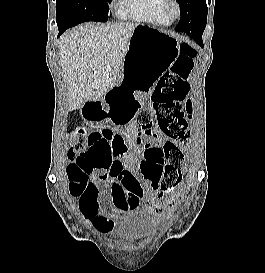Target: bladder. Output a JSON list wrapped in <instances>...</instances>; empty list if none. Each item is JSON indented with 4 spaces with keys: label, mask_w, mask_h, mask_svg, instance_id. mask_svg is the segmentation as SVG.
Returning <instances> with one entry per match:
<instances>
[{
    "label": "bladder",
    "mask_w": 265,
    "mask_h": 273,
    "mask_svg": "<svg viewBox=\"0 0 265 273\" xmlns=\"http://www.w3.org/2000/svg\"><path fill=\"white\" fill-rule=\"evenodd\" d=\"M157 227V217L147 210L136 207L125 212L124 220L116 230L126 241H139L151 237Z\"/></svg>",
    "instance_id": "31cf9c89"
}]
</instances>
